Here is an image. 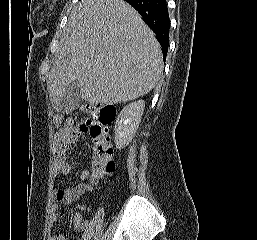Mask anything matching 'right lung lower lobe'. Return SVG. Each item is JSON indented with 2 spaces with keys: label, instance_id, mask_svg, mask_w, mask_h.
Returning a JSON list of instances; mask_svg holds the SVG:
<instances>
[{
  "label": "right lung lower lobe",
  "instance_id": "1",
  "mask_svg": "<svg viewBox=\"0 0 257 240\" xmlns=\"http://www.w3.org/2000/svg\"><path fill=\"white\" fill-rule=\"evenodd\" d=\"M143 17L145 23L157 35L166 59L169 46L170 20L166 0H125Z\"/></svg>",
  "mask_w": 257,
  "mask_h": 240
}]
</instances>
